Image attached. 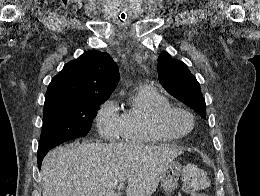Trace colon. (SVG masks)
Here are the masks:
<instances>
[{
    "instance_id": "5ec220e1",
    "label": "colon",
    "mask_w": 260,
    "mask_h": 196,
    "mask_svg": "<svg viewBox=\"0 0 260 196\" xmlns=\"http://www.w3.org/2000/svg\"><path fill=\"white\" fill-rule=\"evenodd\" d=\"M181 180L190 196H204L209 186V177L201 167L186 164L181 169Z\"/></svg>"
}]
</instances>
